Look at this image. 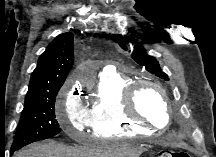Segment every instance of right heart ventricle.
Returning a JSON list of instances; mask_svg holds the SVG:
<instances>
[{"label": "right heart ventricle", "instance_id": "1", "mask_svg": "<svg viewBox=\"0 0 216 157\" xmlns=\"http://www.w3.org/2000/svg\"><path fill=\"white\" fill-rule=\"evenodd\" d=\"M132 79L114 72L100 76L89 108L90 128L94 137H133L153 130L128 118L123 110L122 96Z\"/></svg>", "mask_w": 216, "mask_h": 157}]
</instances>
